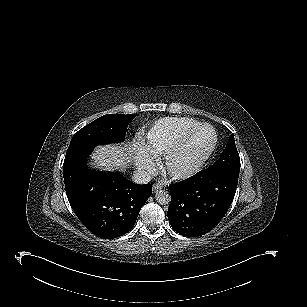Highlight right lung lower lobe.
Wrapping results in <instances>:
<instances>
[{"label":"right lung lower lobe","instance_id":"1","mask_svg":"<svg viewBox=\"0 0 307 307\" xmlns=\"http://www.w3.org/2000/svg\"><path fill=\"white\" fill-rule=\"evenodd\" d=\"M89 153L65 157L63 176L69 203L79 220L98 237L111 239L128 233L152 185L129 182L118 172L90 171Z\"/></svg>","mask_w":307,"mask_h":307}]
</instances>
